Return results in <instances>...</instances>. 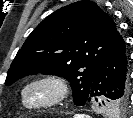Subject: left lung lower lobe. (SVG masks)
Wrapping results in <instances>:
<instances>
[{
    "label": "left lung lower lobe",
    "mask_w": 133,
    "mask_h": 118,
    "mask_svg": "<svg viewBox=\"0 0 133 118\" xmlns=\"http://www.w3.org/2000/svg\"><path fill=\"white\" fill-rule=\"evenodd\" d=\"M128 60L124 39L118 34L92 75L86 103L129 97Z\"/></svg>",
    "instance_id": "1"
}]
</instances>
